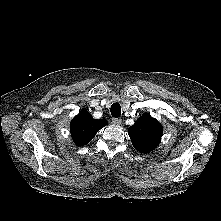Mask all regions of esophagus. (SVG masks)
Instances as JSON below:
<instances>
[{
  "instance_id": "1",
  "label": "esophagus",
  "mask_w": 221,
  "mask_h": 221,
  "mask_svg": "<svg viewBox=\"0 0 221 221\" xmlns=\"http://www.w3.org/2000/svg\"><path fill=\"white\" fill-rule=\"evenodd\" d=\"M112 123L114 125H120L122 123V120L120 118H112Z\"/></svg>"
}]
</instances>
